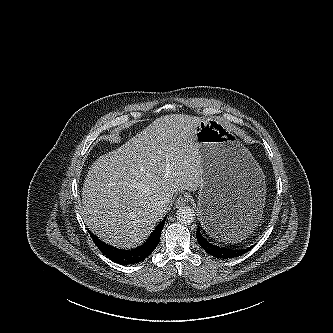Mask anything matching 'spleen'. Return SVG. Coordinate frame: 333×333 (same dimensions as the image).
I'll use <instances>...</instances> for the list:
<instances>
[{
  "instance_id": "obj_1",
  "label": "spleen",
  "mask_w": 333,
  "mask_h": 333,
  "mask_svg": "<svg viewBox=\"0 0 333 333\" xmlns=\"http://www.w3.org/2000/svg\"><path fill=\"white\" fill-rule=\"evenodd\" d=\"M253 228L247 225H240V227H234L229 230L226 234H224V238L222 237L223 241H234V240H241L242 238L246 237Z\"/></svg>"
}]
</instances>
